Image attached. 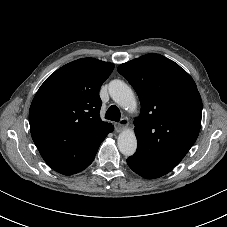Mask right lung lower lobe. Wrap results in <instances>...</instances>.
Instances as JSON below:
<instances>
[{
	"mask_svg": "<svg viewBox=\"0 0 227 227\" xmlns=\"http://www.w3.org/2000/svg\"><path fill=\"white\" fill-rule=\"evenodd\" d=\"M112 130H113V129H112ZM91 163H92V162H91ZM91 163H90V164H91ZM90 164H89V165H90ZM89 165H87V166H89ZM87 166H86V167H87ZM86 167H85V168H86ZM85 168H84V169H85ZM84 169H83V170H84ZM81 171H82V170H81Z\"/></svg>",
	"mask_w": 227,
	"mask_h": 227,
	"instance_id": "98d812e1",
	"label": "right lung lower lobe"
}]
</instances>
